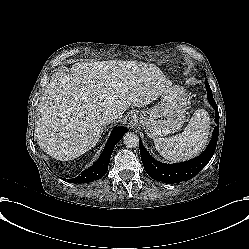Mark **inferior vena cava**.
I'll list each match as a JSON object with an SVG mask.
<instances>
[{
	"instance_id": "602c4592",
	"label": "inferior vena cava",
	"mask_w": 249,
	"mask_h": 249,
	"mask_svg": "<svg viewBox=\"0 0 249 249\" xmlns=\"http://www.w3.org/2000/svg\"><path fill=\"white\" fill-rule=\"evenodd\" d=\"M118 117L117 113L116 112H110L108 114V117H106L104 119V125H107V124H110L112 123L114 120H116Z\"/></svg>"
}]
</instances>
